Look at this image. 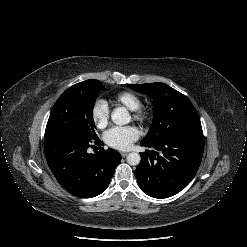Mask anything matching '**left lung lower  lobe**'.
Instances as JSON below:
<instances>
[{"instance_id": "obj_1", "label": "left lung lower lobe", "mask_w": 247, "mask_h": 247, "mask_svg": "<svg viewBox=\"0 0 247 247\" xmlns=\"http://www.w3.org/2000/svg\"><path fill=\"white\" fill-rule=\"evenodd\" d=\"M148 148L140 153L135 170L140 189L163 199L184 189L195 176L202 161L204 140L175 138L158 143L141 142Z\"/></svg>"}]
</instances>
